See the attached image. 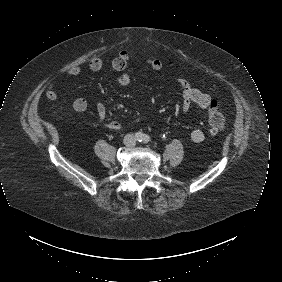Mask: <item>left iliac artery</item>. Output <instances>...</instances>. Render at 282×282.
<instances>
[{
  "label": "left iliac artery",
  "instance_id": "left-iliac-artery-1",
  "mask_svg": "<svg viewBox=\"0 0 282 282\" xmlns=\"http://www.w3.org/2000/svg\"><path fill=\"white\" fill-rule=\"evenodd\" d=\"M142 141L144 143H148L150 141V137L148 135H144Z\"/></svg>",
  "mask_w": 282,
  "mask_h": 282
}]
</instances>
